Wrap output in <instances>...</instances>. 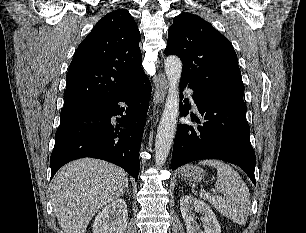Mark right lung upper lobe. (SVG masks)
<instances>
[{"label":"right lung upper lobe","mask_w":306,"mask_h":233,"mask_svg":"<svg viewBox=\"0 0 306 233\" xmlns=\"http://www.w3.org/2000/svg\"><path fill=\"white\" fill-rule=\"evenodd\" d=\"M137 24L125 9L106 14L81 42L67 73L64 107L91 105L123 93L144 72Z\"/></svg>","instance_id":"right-lung-upper-lobe-1"}]
</instances>
